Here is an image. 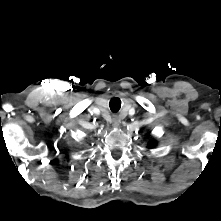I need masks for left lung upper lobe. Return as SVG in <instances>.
Listing matches in <instances>:
<instances>
[{
    "label": "left lung upper lobe",
    "mask_w": 221,
    "mask_h": 221,
    "mask_svg": "<svg viewBox=\"0 0 221 221\" xmlns=\"http://www.w3.org/2000/svg\"><path fill=\"white\" fill-rule=\"evenodd\" d=\"M155 145H156V142H155V141H151V142L149 143V147H150V148L154 147Z\"/></svg>",
    "instance_id": "1"
}]
</instances>
